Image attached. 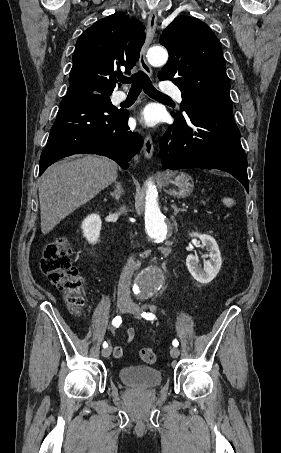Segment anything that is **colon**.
I'll return each mask as SVG.
<instances>
[{
	"mask_svg": "<svg viewBox=\"0 0 281 453\" xmlns=\"http://www.w3.org/2000/svg\"><path fill=\"white\" fill-rule=\"evenodd\" d=\"M73 255L75 251L64 239L46 242L42 245L41 268L66 295L71 309L84 313L87 310L84 287L78 269L71 265ZM139 356L143 363H156L159 360L158 355L150 349H141Z\"/></svg>",
	"mask_w": 281,
	"mask_h": 453,
	"instance_id": "colon-1",
	"label": "colon"
}]
</instances>
